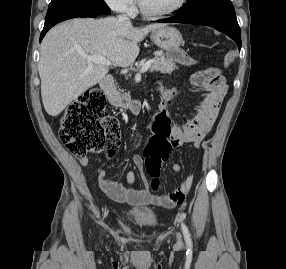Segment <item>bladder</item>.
<instances>
[{
  "label": "bladder",
  "mask_w": 286,
  "mask_h": 269,
  "mask_svg": "<svg viewBox=\"0 0 286 269\" xmlns=\"http://www.w3.org/2000/svg\"><path fill=\"white\" fill-rule=\"evenodd\" d=\"M130 220L142 227H154L157 224V213L149 207H136L129 211Z\"/></svg>",
  "instance_id": "31cf9c89"
}]
</instances>
